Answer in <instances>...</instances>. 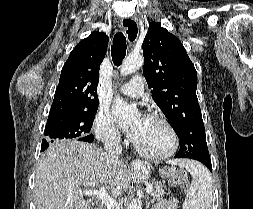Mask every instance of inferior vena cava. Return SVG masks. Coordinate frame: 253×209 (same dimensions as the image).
Wrapping results in <instances>:
<instances>
[{
	"label": "inferior vena cava",
	"mask_w": 253,
	"mask_h": 209,
	"mask_svg": "<svg viewBox=\"0 0 253 209\" xmlns=\"http://www.w3.org/2000/svg\"><path fill=\"white\" fill-rule=\"evenodd\" d=\"M121 137L118 133L113 132L104 140V148L107 152L108 160L113 163L119 162V156L122 153L120 145Z\"/></svg>",
	"instance_id": "602c4592"
}]
</instances>
